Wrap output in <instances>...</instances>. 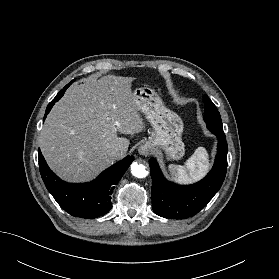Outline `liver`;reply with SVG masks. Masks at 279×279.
Returning a JSON list of instances; mask_svg holds the SVG:
<instances>
[{
    "label": "liver",
    "mask_w": 279,
    "mask_h": 279,
    "mask_svg": "<svg viewBox=\"0 0 279 279\" xmlns=\"http://www.w3.org/2000/svg\"><path fill=\"white\" fill-rule=\"evenodd\" d=\"M132 77L107 75L71 86L48 114L39 145L49 167L69 182L93 179L123 158L129 140L145 129L131 90ZM119 148L122 155L113 157Z\"/></svg>",
    "instance_id": "liver-1"
}]
</instances>
